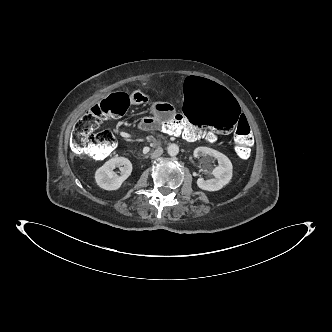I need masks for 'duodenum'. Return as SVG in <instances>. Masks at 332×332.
<instances>
[{
	"label": "duodenum",
	"mask_w": 332,
	"mask_h": 332,
	"mask_svg": "<svg viewBox=\"0 0 332 332\" xmlns=\"http://www.w3.org/2000/svg\"><path fill=\"white\" fill-rule=\"evenodd\" d=\"M159 121L160 120L158 119V117H155V118H153V119L150 120L152 126H154V127H156L159 124ZM179 135L183 139H185L186 141H189V142L193 141V135H192V133L189 130H185L182 133H180ZM207 139L208 140H212L213 137L208 135Z\"/></svg>",
	"instance_id": "1"
}]
</instances>
